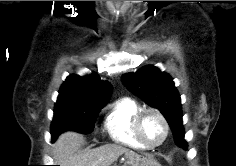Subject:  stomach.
<instances>
[{
  "instance_id": "1",
  "label": "stomach",
  "mask_w": 236,
  "mask_h": 166,
  "mask_svg": "<svg viewBox=\"0 0 236 166\" xmlns=\"http://www.w3.org/2000/svg\"><path fill=\"white\" fill-rule=\"evenodd\" d=\"M149 164L146 166H161L159 163H157L156 161L152 160V159H148ZM125 166H131V165H125Z\"/></svg>"
}]
</instances>
